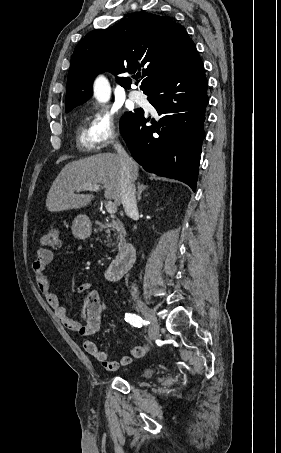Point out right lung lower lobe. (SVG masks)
<instances>
[{
    "instance_id": "right-lung-lower-lobe-1",
    "label": "right lung lower lobe",
    "mask_w": 281,
    "mask_h": 453,
    "mask_svg": "<svg viewBox=\"0 0 281 453\" xmlns=\"http://www.w3.org/2000/svg\"><path fill=\"white\" fill-rule=\"evenodd\" d=\"M144 93L162 117L147 126L150 117L145 118L141 108L126 113L120 121L122 137L145 170L182 181L195 191L208 104L198 52Z\"/></svg>"
}]
</instances>
